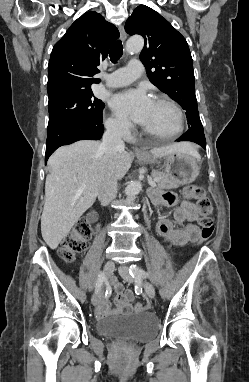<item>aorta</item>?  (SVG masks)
<instances>
[{"label":"aorta","instance_id":"obj_1","mask_svg":"<svg viewBox=\"0 0 249 382\" xmlns=\"http://www.w3.org/2000/svg\"><path fill=\"white\" fill-rule=\"evenodd\" d=\"M144 40L141 36H133L128 39L126 43V51L130 54L140 52L143 48ZM142 189V184L140 181H133L128 184L125 189V194L127 196H134L138 194Z\"/></svg>","mask_w":249,"mask_h":382}]
</instances>
